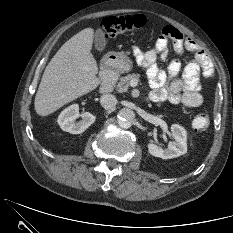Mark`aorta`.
<instances>
[{"label":"aorta","mask_w":233,"mask_h":233,"mask_svg":"<svg viewBox=\"0 0 233 233\" xmlns=\"http://www.w3.org/2000/svg\"><path fill=\"white\" fill-rule=\"evenodd\" d=\"M117 117L121 128H129L135 119V113L129 108H122L119 110Z\"/></svg>","instance_id":"obj_1"}]
</instances>
